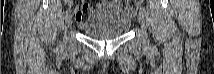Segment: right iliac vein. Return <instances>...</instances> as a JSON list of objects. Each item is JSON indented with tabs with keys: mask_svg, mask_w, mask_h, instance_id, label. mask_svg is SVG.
I'll return each instance as SVG.
<instances>
[{
	"mask_svg": "<svg viewBox=\"0 0 214 74\" xmlns=\"http://www.w3.org/2000/svg\"><path fill=\"white\" fill-rule=\"evenodd\" d=\"M71 23H72V16H71L70 14H68V15L66 16V28H67L69 25H71Z\"/></svg>",
	"mask_w": 214,
	"mask_h": 74,
	"instance_id": "right-iliac-vein-1",
	"label": "right iliac vein"
}]
</instances>
